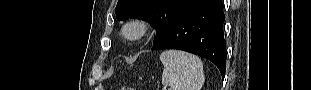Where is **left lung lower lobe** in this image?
Listing matches in <instances>:
<instances>
[{
    "mask_svg": "<svg viewBox=\"0 0 311 90\" xmlns=\"http://www.w3.org/2000/svg\"><path fill=\"white\" fill-rule=\"evenodd\" d=\"M222 0H200L183 12L152 50L179 49L213 62L225 76Z\"/></svg>",
    "mask_w": 311,
    "mask_h": 90,
    "instance_id": "1",
    "label": "left lung lower lobe"
}]
</instances>
